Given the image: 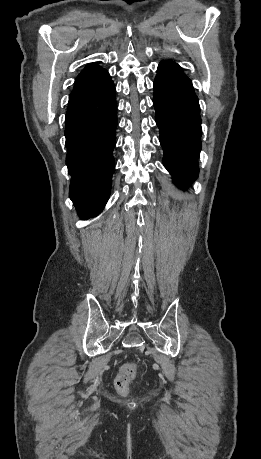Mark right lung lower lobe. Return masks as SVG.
<instances>
[{
    "label": "right lung lower lobe",
    "mask_w": 261,
    "mask_h": 459,
    "mask_svg": "<svg viewBox=\"0 0 261 459\" xmlns=\"http://www.w3.org/2000/svg\"><path fill=\"white\" fill-rule=\"evenodd\" d=\"M65 123L66 164L72 176L69 196L80 218L97 216L109 199L115 166L117 103L113 81L68 107Z\"/></svg>",
    "instance_id": "obj_1"
}]
</instances>
